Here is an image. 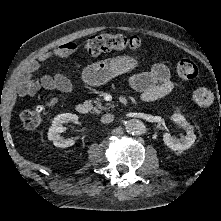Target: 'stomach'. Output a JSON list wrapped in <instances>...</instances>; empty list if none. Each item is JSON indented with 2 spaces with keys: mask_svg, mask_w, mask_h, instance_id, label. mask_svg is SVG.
I'll use <instances>...</instances> for the list:
<instances>
[{
  "mask_svg": "<svg viewBox=\"0 0 221 221\" xmlns=\"http://www.w3.org/2000/svg\"><path fill=\"white\" fill-rule=\"evenodd\" d=\"M138 66L136 58L117 56L88 65L82 72V80L90 86H100L112 78L131 72Z\"/></svg>",
  "mask_w": 221,
  "mask_h": 221,
  "instance_id": "stomach-1",
  "label": "stomach"
}]
</instances>
